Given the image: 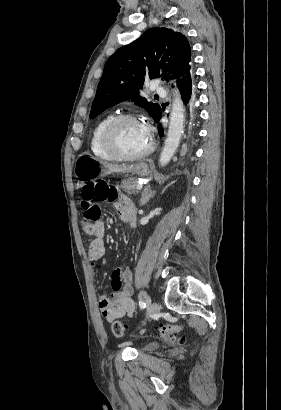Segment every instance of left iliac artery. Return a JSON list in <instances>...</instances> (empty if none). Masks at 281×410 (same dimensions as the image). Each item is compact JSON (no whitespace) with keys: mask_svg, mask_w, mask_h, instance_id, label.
I'll use <instances>...</instances> for the list:
<instances>
[{"mask_svg":"<svg viewBox=\"0 0 281 410\" xmlns=\"http://www.w3.org/2000/svg\"><path fill=\"white\" fill-rule=\"evenodd\" d=\"M146 299H147V295L144 293H141V298L139 301V306L141 309H144L146 307V303H145Z\"/></svg>","mask_w":281,"mask_h":410,"instance_id":"obj_1","label":"left iliac artery"}]
</instances>
